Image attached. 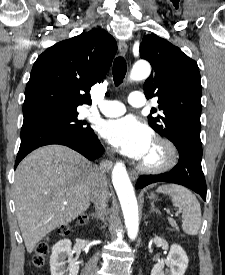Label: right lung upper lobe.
I'll return each mask as SVG.
<instances>
[{
	"instance_id": "right-lung-upper-lobe-1",
	"label": "right lung upper lobe",
	"mask_w": 225,
	"mask_h": 275,
	"mask_svg": "<svg viewBox=\"0 0 225 275\" xmlns=\"http://www.w3.org/2000/svg\"><path fill=\"white\" fill-rule=\"evenodd\" d=\"M116 51L115 39L98 29L48 48L33 65L23 115L72 111L91 104L90 89L102 80Z\"/></svg>"
}]
</instances>
